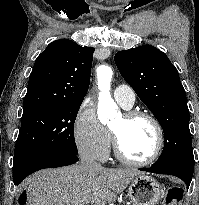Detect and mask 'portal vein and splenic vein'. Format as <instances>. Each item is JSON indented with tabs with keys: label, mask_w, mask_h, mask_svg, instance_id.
<instances>
[{
	"label": "portal vein and splenic vein",
	"mask_w": 199,
	"mask_h": 205,
	"mask_svg": "<svg viewBox=\"0 0 199 205\" xmlns=\"http://www.w3.org/2000/svg\"><path fill=\"white\" fill-rule=\"evenodd\" d=\"M90 203L91 204H94V205H104V203L102 201H100L99 199L97 198H90Z\"/></svg>",
	"instance_id": "18ae733b"
}]
</instances>
